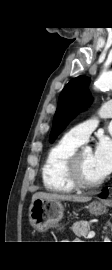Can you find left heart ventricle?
Listing matches in <instances>:
<instances>
[{"label": "left heart ventricle", "mask_w": 112, "mask_h": 270, "mask_svg": "<svg viewBox=\"0 0 112 270\" xmlns=\"http://www.w3.org/2000/svg\"><path fill=\"white\" fill-rule=\"evenodd\" d=\"M80 173L82 179L89 183L96 182L102 178L95 167L92 152L82 151L80 156Z\"/></svg>", "instance_id": "1"}]
</instances>
